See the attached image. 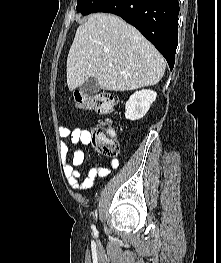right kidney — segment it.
I'll return each mask as SVG.
<instances>
[{
  "label": "right kidney",
  "instance_id": "1",
  "mask_svg": "<svg viewBox=\"0 0 221 263\" xmlns=\"http://www.w3.org/2000/svg\"><path fill=\"white\" fill-rule=\"evenodd\" d=\"M156 97L157 93L153 90L136 91L125 104L126 119L136 121L144 117Z\"/></svg>",
  "mask_w": 221,
  "mask_h": 263
}]
</instances>
